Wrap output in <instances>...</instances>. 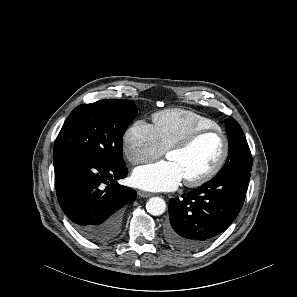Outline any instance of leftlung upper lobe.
I'll use <instances>...</instances> for the list:
<instances>
[{
    "instance_id": "5c2ea615",
    "label": "left lung upper lobe",
    "mask_w": 297,
    "mask_h": 297,
    "mask_svg": "<svg viewBox=\"0 0 297 297\" xmlns=\"http://www.w3.org/2000/svg\"><path fill=\"white\" fill-rule=\"evenodd\" d=\"M225 123L229 139V155L225 165L217 175L250 174L252 156L244 133L234 118L229 117L225 120Z\"/></svg>"
}]
</instances>
